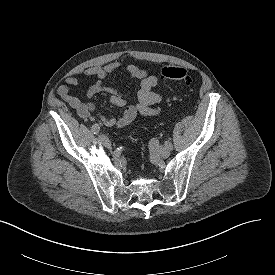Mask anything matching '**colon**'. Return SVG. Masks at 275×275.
<instances>
[{"label": "colon", "mask_w": 275, "mask_h": 275, "mask_svg": "<svg viewBox=\"0 0 275 275\" xmlns=\"http://www.w3.org/2000/svg\"><path fill=\"white\" fill-rule=\"evenodd\" d=\"M162 79L168 82H178L183 85H190L194 78L189 70L181 66H168L161 72Z\"/></svg>", "instance_id": "1"}]
</instances>
